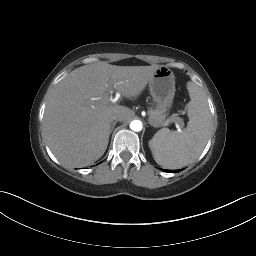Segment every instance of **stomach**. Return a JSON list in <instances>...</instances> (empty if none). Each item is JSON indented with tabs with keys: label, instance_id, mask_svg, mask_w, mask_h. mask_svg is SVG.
I'll return each mask as SVG.
<instances>
[{
	"label": "stomach",
	"instance_id": "stomach-1",
	"mask_svg": "<svg viewBox=\"0 0 256 256\" xmlns=\"http://www.w3.org/2000/svg\"><path fill=\"white\" fill-rule=\"evenodd\" d=\"M150 94L160 108L166 110L173 104L175 96V75L165 66L156 70L149 81Z\"/></svg>",
	"mask_w": 256,
	"mask_h": 256
}]
</instances>
